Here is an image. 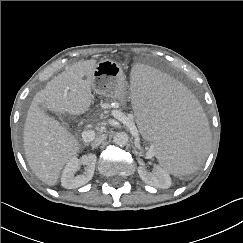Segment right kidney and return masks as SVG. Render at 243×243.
<instances>
[{
	"mask_svg": "<svg viewBox=\"0 0 243 243\" xmlns=\"http://www.w3.org/2000/svg\"><path fill=\"white\" fill-rule=\"evenodd\" d=\"M96 159L97 157L95 154L84 155L81 159L76 157L71 158L62 172V187L73 189L88 183L94 175ZM81 164L86 166L85 171L83 174L75 176V173L80 169Z\"/></svg>",
	"mask_w": 243,
	"mask_h": 243,
	"instance_id": "right-kidney-1",
	"label": "right kidney"
}]
</instances>
